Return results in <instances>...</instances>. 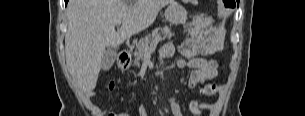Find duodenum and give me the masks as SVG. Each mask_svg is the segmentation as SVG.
I'll return each instance as SVG.
<instances>
[{"mask_svg": "<svg viewBox=\"0 0 305 116\" xmlns=\"http://www.w3.org/2000/svg\"><path fill=\"white\" fill-rule=\"evenodd\" d=\"M130 59L131 55L128 51H120L117 58L119 67L126 68L128 63L130 62Z\"/></svg>", "mask_w": 305, "mask_h": 116, "instance_id": "1", "label": "duodenum"}]
</instances>
